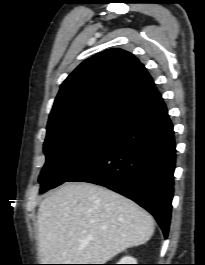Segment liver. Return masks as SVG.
I'll list each match as a JSON object with an SVG mask.
<instances>
[{"label":"liver","instance_id":"1","mask_svg":"<svg viewBox=\"0 0 205 265\" xmlns=\"http://www.w3.org/2000/svg\"><path fill=\"white\" fill-rule=\"evenodd\" d=\"M37 224L43 264H105L154 232L152 216L135 202L90 183H66L46 197Z\"/></svg>","mask_w":205,"mask_h":265}]
</instances>
